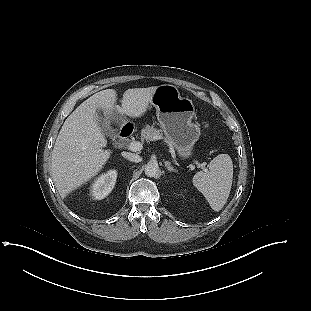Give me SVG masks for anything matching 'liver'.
<instances>
[{
    "label": "liver",
    "mask_w": 311,
    "mask_h": 311,
    "mask_svg": "<svg viewBox=\"0 0 311 311\" xmlns=\"http://www.w3.org/2000/svg\"><path fill=\"white\" fill-rule=\"evenodd\" d=\"M157 88L126 90L122 107L115 105L117 94L114 89L102 90L67 117L57 136L51 162V175L62 197L95 176L110 158L111 151L103 149L107 140L97 123L96 111L103 110L107 118L116 113L140 117L146 112Z\"/></svg>",
    "instance_id": "obj_1"
}]
</instances>
